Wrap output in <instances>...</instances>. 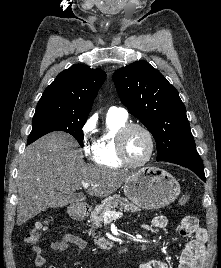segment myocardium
<instances>
[{
  "label": "myocardium",
  "instance_id": "1",
  "mask_svg": "<svg viewBox=\"0 0 221 268\" xmlns=\"http://www.w3.org/2000/svg\"><path fill=\"white\" fill-rule=\"evenodd\" d=\"M133 129H139L142 130L148 137L149 139V151L147 156L138 163L131 162L126 154V149H125V139L127 134L133 130ZM155 138L151 130L139 123H126L124 126H122L116 135V150H117V156L120 160V162L129 168H140L144 165H146L153 157L154 152H155Z\"/></svg>",
  "mask_w": 221,
  "mask_h": 268
}]
</instances>
